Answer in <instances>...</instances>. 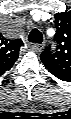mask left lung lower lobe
<instances>
[{
	"mask_svg": "<svg viewBox=\"0 0 71 119\" xmlns=\"http://www.w3.org/2000/svg\"><path fill=\"white\" fill-rule=\"evenodd\" d=\"M48 71L60 80L68 81V82L71 81V73L61 72L52 69H48Z\"/></svg>",
	"mask_w": 71,
	"mask_h": 119,
	"instance_id": "left-lung-lower-lobe-1",
	"label": "left lung lower lobe"
}]
</instances>
